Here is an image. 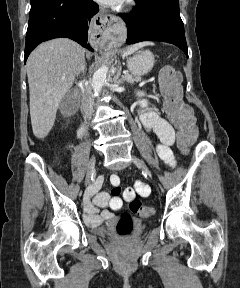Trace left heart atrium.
<instances>
[{"label":"left heart atrium","instance_id":"1","mask_svg":"<svg viewBox=\"0 0 240 288\" xmlns=\"http://www.w3.org/2000/svg\"><path fill=\"white\" fill-rule=\"evenodd\" d=\"M97 1L105 5H116L120 3L122 0H97Z\"/></svg>","mask_w":240,"mask_h":288}]
</instances>
